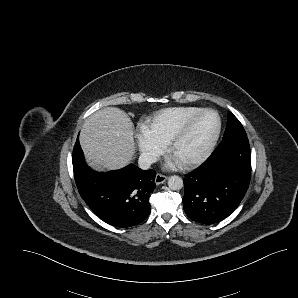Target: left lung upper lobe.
<instances>
[{
    "label": "left lung upper lobe",
    "mask_w": 298,
    "mask_h": 298,
    "mask_svg": "<svg viewBox=\"0 0 298 298\" xmlns=\"http://www.w3.org/2000/svg\"><path fill=\"white\" fill-rule=\"evenodd\" d=\"M240 132H245L242 124L231 112H229L228 113V123H227L223 138L228 137L235 133H240Z\"/></svg>",
    "instance_id": "left-lung-upper-lobe-1"
}]
</instances>
